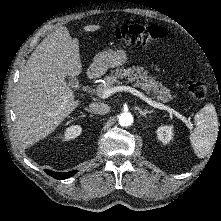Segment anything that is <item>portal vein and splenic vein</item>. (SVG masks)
<instances>
[{"mask_svg": "<svg viewBox=\"0 0 221 221\" xmlns=\"http://www.w3.org/2000/svg\"><path fill=\"white\" fill-rule=\"evenodd\" d=\"M119 91H126L129 92L135 96H138L139 98H141L142 100H144L146 103H148L149 105H151L154 108H158L161 110H165L168 111L171 114H174L176 117H178L179 119H181L182 121H184L188 127L190 129H192V123L190 120H188L186 117H184L183 115H181L179 112H177L176 110L172 109L169 106H166L164 104L158 103L156 101L151 100L150 98H148L147 96H145L142 92H140L139 90L130 87V86H116V87H112L110 89L104 90V91H97V95L103 99L108 98L109 96H111L113 93L115 92H119Z\"/></svg>", "mask_w": 221, "mask_h": 221, "instance_id": "18ae733b", "label": "portal vein and splenic vein"}]
</instances>
